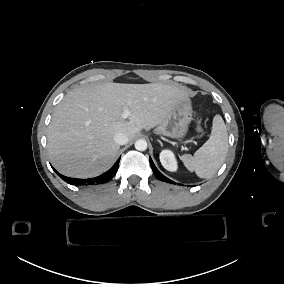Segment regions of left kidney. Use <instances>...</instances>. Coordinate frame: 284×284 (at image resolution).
<instances>
[{
	"label": "left kidney",
	"instance_id": "obj_1",
	"mask_svg": "<svg viewBox=\"0 0 284 284\" xmlns=\"http://www.w3.org/2000/svg\"><path fill=\"white\" fill-rule=\"evenodd\" d=\"M162 166L171 172L177 171L178 165L174 153L171 150H162L160 153Z\"/></svg>",
	"mask_w": 284,
	"mask_h": 284
}]
</instances>
